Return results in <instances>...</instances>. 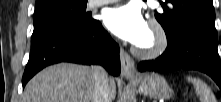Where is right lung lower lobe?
Segmentation results:
<instances>
[{
    "label": "right lung lower lobe",
    "mask_w": 221,
    "mask_h": 102,
    "mask_svg": "<svg viewBox=\"0 0 221 102\" xmlns=\"http://www.w3.org/2000/svg\"><path fill=\"white\" fill-rule=\"evenodd\" d=\"M59 62L101 64L110 74H120L119 46L98 20L84 27L58 30L33 45L22 78L23 87L38 71Z\"/></svg>",
    "instance_id": "1"
}]
</instances>
